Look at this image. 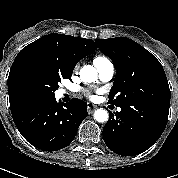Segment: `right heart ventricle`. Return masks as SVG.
<instances>
[{"label":"right heart ventricle","instance_id":"1","mask_svg":"<svg viewBox=\"0 0 178 178\" xmlns=\"http://www.w3.org/2000/svg\"><path fill=\"white\" fill-rule=\"evenodd\" d=\"M107 61H109L107 58H105L103 56H97L94 59V64H95V66H97V65L102 64V63L107 62Z\"/></svg>","mask_w":178,"mask_h":178}]
</instances>
